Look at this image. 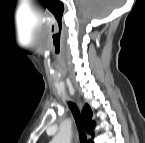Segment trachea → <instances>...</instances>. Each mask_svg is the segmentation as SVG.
I'll return each instance as SVG.
<instances>
[{"label": "trachea", "instance_id": "obj_1", "mask_svg": "<svg viewBox=\"0 0 145 143\" xmlns=\"http://www.w3.org/2000/svg\"><path fill=\"white\" fill-rule=\"evenodd\" d=\"M68 105L74 116L78 131H79L81 143H88L85 130H84L83 125L80 120L79 110H78L77 106L72 102H69Z\"/></svg>", "mask_w": 145, "mask_h": 143}]
</instances>
